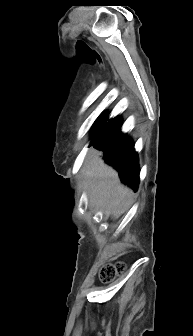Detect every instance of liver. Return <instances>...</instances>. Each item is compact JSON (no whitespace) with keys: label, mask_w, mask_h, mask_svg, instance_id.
Instances as JSON below:
<instances>
[{"label":"liver","mask_w":193,"mask_h":336,"mask_svg":"<svg viewBox=\"0 0 193 336\" xmlns=\"http://www.w3.org/2000/svg\"><path fill=\"white\" fill-rule=\"evenodd\" d=\"M82 175L89 190L90 203L94 207L117 217L131 204V190L120 184L117 172L104 163L101 152L91 151Z\"/></svg>","instance_id":"6515ba94"}]
</instances>
